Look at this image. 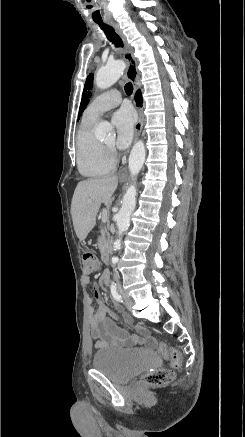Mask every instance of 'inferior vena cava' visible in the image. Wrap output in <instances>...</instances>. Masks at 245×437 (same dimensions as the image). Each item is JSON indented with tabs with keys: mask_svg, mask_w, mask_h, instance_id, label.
Returning a JSON list of instances; mask_svg holds the SVG:
<instances>
[{
	"mask_svg": "<svg viewBox=\"0 0 245 437\" xmlns=\"http://www.w3.org/2000/svg\"><path fill=\"white\" fill-rule=\"evenodd\" d=\"M115 279L118 280V273L115 274Z\"/></svg>",
	"mask_w": 245,
	"mask_h": 437,
	"instance_id": "1",
	"label": "inferior vena cava"
}]
</instances>
